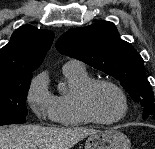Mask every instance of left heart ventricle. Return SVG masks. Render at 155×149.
Instances as JSON below:
<instances>
[{
	"label": "left heart ventricle",
	"instance_id": "1",
	"mask_svg": "<svg viewBox=\"0 0 155 149\" xmlns=\"http://www.w3.org/2000/svg\"><path fill=\"white\" fill-rule=\"evenodd\" d=\"M92 108L104 120L117 117L122 112V100L118 92L108 85L95 88L91 97Z\"/></svg>",
	"mask_w": 155,
	"mask_h": 149
}]
</instances>
